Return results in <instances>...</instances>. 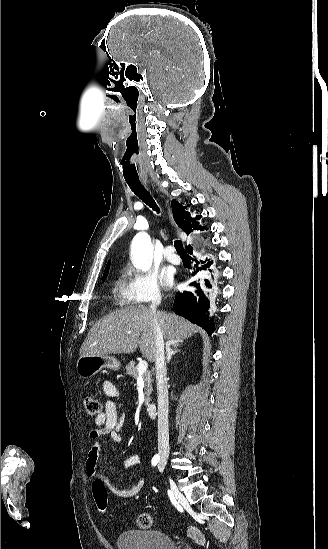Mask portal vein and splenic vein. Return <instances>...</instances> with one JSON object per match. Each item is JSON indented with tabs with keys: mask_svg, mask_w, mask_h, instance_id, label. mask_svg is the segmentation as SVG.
Here are the masks:
<instances>
[{
	"mask_svg": "<svg viewBox=\"0 0 328 549\" xmlns=\"http://www.w3.org/2000/svg\"><path fill=\"white\" fill-rule=\"evenodd\" d=\"M148 369V363L146 361H139L138 363V373H145Z\"/></svg>",
	"mask_w": 328,
	"mask_h": 549,
	"instance_id": "portal-vein-and-splenic-vein-1",
	"label": "portal vein and splenic vein"
}]
</instances>
